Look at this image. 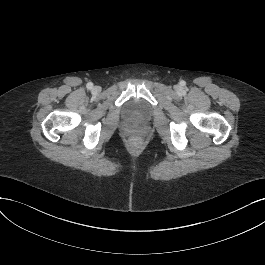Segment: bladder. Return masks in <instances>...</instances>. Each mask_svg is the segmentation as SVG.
Segmentation results:
<instances>
[{
  "label": "bladder",
  "instance_id": "bladder-1",
  "mask_svg": "<svg viewBox=\"0 0 265 265\" xmlns=\"http://www.w3.org/2000/svg\"><path fill=\"white\" fill-rule=\"evenodd\" d=\"M129 115L133 119H143L148 116V111L143 103L133 102L129 107Z\"/></svg>",
  "mask_w": 265,
  "mask_h": 265
}]
</instances>
